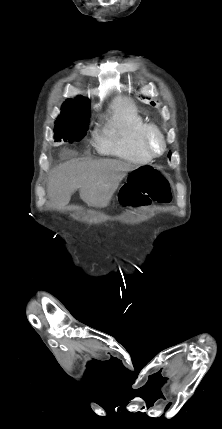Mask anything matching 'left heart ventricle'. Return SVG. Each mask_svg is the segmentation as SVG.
I'll return each mask as SVG.
<instances>
[{
	"instance_id": "left-heart-ventricle-1",
	"label": "left heart ventricle",
	"mask_w": 222,
	"mask_h": 429,
	"mask_svg": "<svg viewBox=\"0 0 222 429\" xmlns=\"http://www.w3.org/2000/svg\"><path fill=\"white\" fill-rule=\"evenodd\" d=\"M151 146L155 151H160L162 148V144L160 140L156 136L151 137Z\"/></svg>"
}]
</instances>
